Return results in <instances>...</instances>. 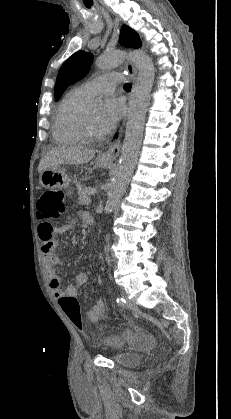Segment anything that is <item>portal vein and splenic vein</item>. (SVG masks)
I'll list each match as a JSON object with an SVG mask.
<instances>
[{
  "instance_id": "obj_1",
  "label": "portal vein and splenic vein",
  "mask_w": 231,
  "mask_h": 419,
  "mask_svg": "<svg viewBox=\"0 0 231 419\" xmlns=\"http://www.w3.org/2000/svg\"><path fill=\"white\" fill-rule=\"evenodd\" d=\"M97 190L95 188H91L89 191V195H94L96 194Z\"/></svg>"
}]
</instances>
